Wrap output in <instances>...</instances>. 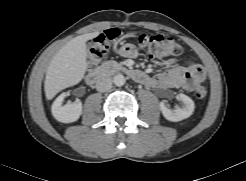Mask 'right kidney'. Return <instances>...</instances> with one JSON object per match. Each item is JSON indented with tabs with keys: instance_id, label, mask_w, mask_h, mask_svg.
Segmentation results:
<instances>
[{
	"instance_id": "obj_1",
	"label": "right kidney",
	"mask_w": 246,
	"mask_h": 181,
	"mask_svg": "<svg viewBox=\"0 0 246 181\" xmlns=\"http://www.w3.org/2000/svg\"><path fill=\"white\" fill-rule=\"evenodd\" d=\"M65 97L66 94L63 93L53 102L51 107L52 115L57 121L62 123L75 122L82 114V103L77 100L62 105Z\"/></svg>"
}]
</instances>
